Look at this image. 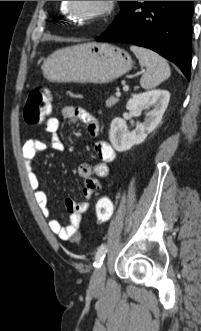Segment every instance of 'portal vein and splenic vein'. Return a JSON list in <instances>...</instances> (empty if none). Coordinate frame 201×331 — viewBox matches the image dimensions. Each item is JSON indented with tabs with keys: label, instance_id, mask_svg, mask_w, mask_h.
<instances>
[{
	"label": "portal vein and splenic vein",
	"instance_id": "18ae733b",
	"mask_svg": "<svg viewBox=\"0 0 201 331\" xmlns=\"http://www.w3.org/2000/svg\"><path fill=\"white\" fill-rule=\"evenodd\" d=\"M123 90L124 91H128L129 90V87L125 84L124 87H123ZM116 95L117 96H120V92H117Z\"/></svg>",
	"mask_w": 201,
	"mask_h": 331
}]
</instances>
